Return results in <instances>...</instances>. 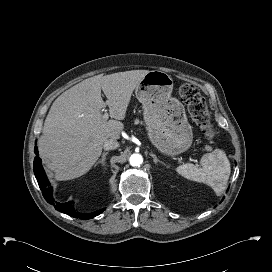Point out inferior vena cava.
<instances>
[{"mask_svg":"<svg viewBox=\"0 0 272 272\" xmlns=\"http://www.w3.org/2000/svg\"><path fill=\"white\" fill-rule=\"evenodd\" d=\"M119 147V143L116 140L108 139L104 142V150H114Z\"/></svg>","mask_w":272,"mask_h":272,"instance_id":"inferior-vena-cava-1","label":"inferior vena cava"}]
</instances>
